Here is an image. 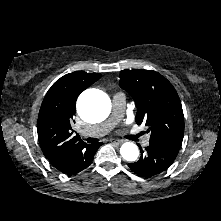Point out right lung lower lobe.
Masks as SVG:
<instances>
[{
  "instance_id": "1",
  "label": "right lung lower lobe",
  "mask_w": 221,
  "mask_h": 221,
  "mask_svg": "<svg viewBox=\"0 0 221 221\" xmlns=\"http://www.w3.org/2000/svg\"><path fill=\"white\" fill-rule=\"evenodd\" d=\"M102 144H103L102 142H98V143L89 145L85 151L80 153V155L78 156V158L76 159V162L72 165V167L68 169L67 171H64L63 173H66L69 175L76 174L84 170L85 168H87L91 164L93 160V156L96 153L98 147L101 146Z\"/></svg>"
}]
</instances>
